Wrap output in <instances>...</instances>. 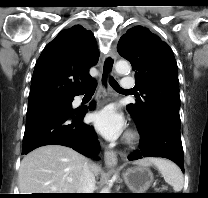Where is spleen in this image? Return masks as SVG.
Wrapping results in <instances>:
<instances>
[{"label":"spleen","mask_w":208,"mask_h":198,"mask_svg":"<svg viewBox=\"0 0 208 198\" xmlns=\"http://www.w3.org/2000/svg\"><path fill=\"white\" fill-rule=\"evenodd\" d=\"M153 161L166 183L171 185L176 193L181 191L184 179L183 174L177 165L165 159H153Z\"/></svg>","instance_id":"spleen-1"}]
</instances>
